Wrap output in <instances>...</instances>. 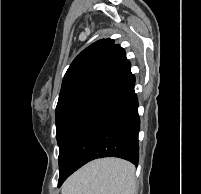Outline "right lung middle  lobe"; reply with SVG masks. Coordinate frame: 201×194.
Masks as SVG:
<instances>
[{
  "instance_id": "obj_1",
  "label": "right lung middle lobe",
  "mask_w": 201,
  "mask_h": 194,
  "mask_svg": "<svg viewBox=\"0 0 201 194\" xmlns=\"http://www.w3.org/2000/svg\"><path fill=\"white\" fill-rule=\"evenodd\" d=\"M93 98H79L67 103H64L56 108V138L58 145L75 115L86 106Z\"/></svg>"
}]
</instances>
